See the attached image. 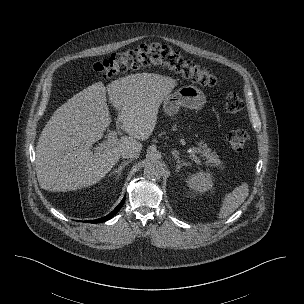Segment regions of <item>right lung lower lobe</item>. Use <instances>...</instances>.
<instances>
[{"label":"right lung lower lobe","mask_w":304,"mask_h":304,"mask_svg":"<svg viewBox=\"0 0 304 304\" xmlns=\"http://www.w3.org/2000/svg\"><path fill=\"white\" fill-rule=\"evenodd\" d=\"M124 202H125V197L122 199V201L119 203V205L107 216H105L103 218L96 219V220H89V221H85V222L101 223V222H105V221L109 220L120 210V208L123 206Z\"/></svg>","instance_id":"1"}]
</instances>
